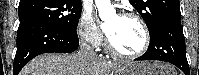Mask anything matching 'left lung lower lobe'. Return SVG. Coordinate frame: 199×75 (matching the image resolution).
Listing matches in <instances>:
<instances>
[{"instance_id":"1","label":"left lung lower lobe","mask_w":199,"mask_h":75,"mask_svg":"<svg viewBox=\"0 0 199 75\" xmlns=\"http://www.w3.org/2000/svg\"><path fill=\"white\" fill-rule=\"evenodd\" d=\"M135 60L169 62L180 68L185 75H190L181 15H171L164 19L156 31L150 35V44L147 51Z\"/></svg>"}]
</instances>
